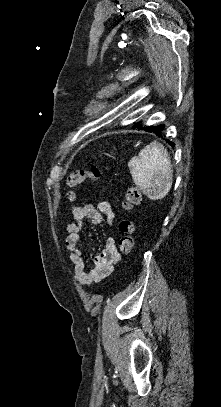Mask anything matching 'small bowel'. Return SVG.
I'll list each match as a JSON object with an SVG mask.
<instances>
[{"label":"small bowel","instance_id":"c3829d8e","mask_svg":"<svg viewBox=\"0 0 221 407\" xmlns=\"http://www.w3.org/2000/svg\"><path fill=\"white\" fill-rule=\"evenodd\" d=\"M73 221L65 227L68 236L65 246L69 259L74 266V280L82 285H91L100 282L109 275L116 263L112 258H119L114 237H109L105 249L94 258L93 268H89L85 262L84 254L79 246L80 232L84 225V219H88L91 225L104 222L106 227L112 228L116 221V210L108 201H100L97 206L89 202L73 205L71 208Z\"/></svg>","mask_w":221,"mask_h":407}]
</instances>
